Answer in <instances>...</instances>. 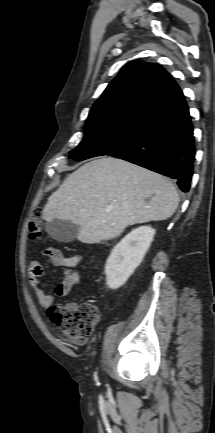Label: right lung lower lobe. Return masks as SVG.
Masks as SVG:
<instances>
[{
    "instance_id": "right-lung-lower-lobe-1",
    "label": "right lung lower lobe",
    "mask_w": 215,
    "mask_h": 433,
    "mask_svg": "<svg viewBox=\"0 0 215 433\" xmlns=\"http://www.w3.org/2000/svg\"><path fill=\"white\" fill-rule=\"evenodd\" d=\"M109 156L175 179L179 188L188 192L195 146L184 95L181 93L150 113L132 141Z\"/></svg>"
}]
</instances>
